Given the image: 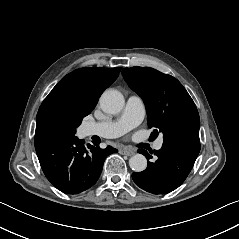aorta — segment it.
Returning a JSON list of instances; mask_svg holds the SVG:
<instances>
[{
  "label": "aorta",
  "mask_w": 239,
  "mask_h": 239,
  "mask_svg": "<svg viewBox=\"0 0 239 239\" xmlns=\"http://www.w3.org/2000/svg\"><path fill=\"white\" fill-rule=\"evenodd\" d=\"M99 102L105 113L117 114L123 109L125 100L121 92L109 89L101 95ZM129 166L136 172H142L147 167V159L142 154H135L129 159Z\"/></svg>",
  "instance_id": "obj_1"
}]
</instances>
